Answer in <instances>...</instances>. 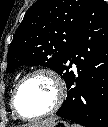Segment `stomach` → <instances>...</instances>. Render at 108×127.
Segmentation results:
<instances>
[{
	"label": "stomach",
	"mask_w": 108,
	"mask_h": 127,
	"mask_svg": "<svg viewBox=\"0 0 108 127\" xmlns=\"http://www.w3.org/2000/svg\"><path fill=\"white\" fill-rule=\"evenodd\" d=\"M42 127V126H39ZM43 127H71L70 124L66 121L63 120H55L53 123H51L48 126H43Z\"/></svg>",
	"instance_id": "obj_1"
}]
</instances>
